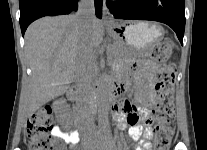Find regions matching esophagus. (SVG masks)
Wrapping results in <instances>:
<instances>
[{"mask_svg": "<svg viewBox=\"0 0 207 150\" xmlns=\"http://www.w3.org/2000/svg\"><path fill=\"white\" fill-rule=\"evenodd\" d=\"M102 21L105 24L113 23V19L111 16V13L107 7V0H103V6H102Z\"/></svg>", "mask_w": 207, "mask_h": 150, "instance_id": "esophagus-1", "label": "esophagus"}]
</instances>
